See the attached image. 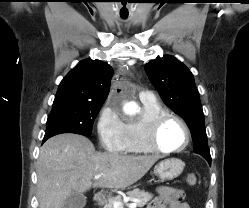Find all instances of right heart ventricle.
Instances as JSON below:
<instances>
[{
    "label": "right heart ventricle",
    "mask_w": 249,
    "mask_h": 208,
    "mask_svg": "<svg viewBox=\"0 0 249 208\" xmlns=\"http://www.w3.org/2000/svg\"><path fill=\"white\" fill-rule=\"evenodd\" d=\"M168 110L158 102H142L141 115L126 123L124 153L144 154L150 153L144 144L145 132L150 122L157 116L167 113Z\"/></svg>",
    "instance_id": "obj_1"
}]
</instances>
